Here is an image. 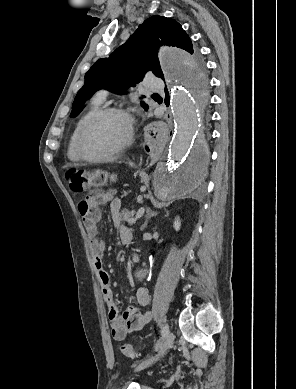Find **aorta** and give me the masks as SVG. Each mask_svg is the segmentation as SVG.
<instances>
[{"mask_svg": "<svg viewBox=\"0 0 296 389\" xmlns=\"http://www.w3.org/2000/svg\"><path fill=\"white\" fill-rule=\"evenodd\" d=\"M159 65L171 90L175 131L164 164L154 184L159 200L201 189L204 167L211 154L205 134H200L207 112L205 67H191L190 55L177 48H162Z\"/></svg>", "mask_w": 296, "mask_h": 389, "instance_id": "762f6f07", "label": "aorta"}]
</instances>
